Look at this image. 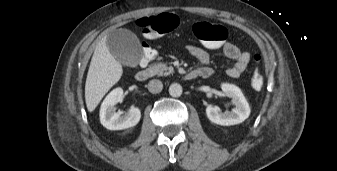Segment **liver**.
<instances>
[{"label": "liver", "instance_id": "obj_1", "mask_svg": "<svg viewBox=\"0 0 337 171\" xmlns=\"http://www.w3.org/2000/svg\"><path fill=\"white\" fill-rule=\"evenodd\" d=\"M103 38L93 53L85 84V101L89 112L94 111L104 95L121 78L123 69L110 53Z\"/></svg>", "mask_w": 337, "mask_h": 171}]
</instances>
